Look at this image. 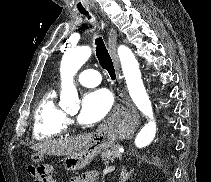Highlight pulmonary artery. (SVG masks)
<instances>
[{"instance_id":"e3ab8cb5","label":"pulmonary artery","mask_w":211,"mask_h":182,"mask_svg":"<svg viewBox=\"0 0 211 182\" xmlns=\"http://www.w3.org/2000/svg\"><path fill=\"white\" fill-rule=\"evenodd\" d=\"M77 80L86 87H95L100 84L101 75L96 70L86 69L78 74Z\"/></svg>"}]
</instances>
